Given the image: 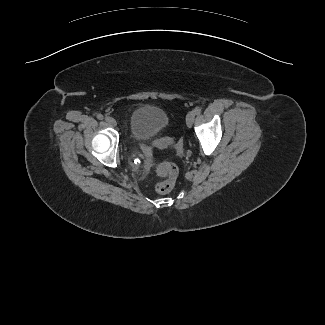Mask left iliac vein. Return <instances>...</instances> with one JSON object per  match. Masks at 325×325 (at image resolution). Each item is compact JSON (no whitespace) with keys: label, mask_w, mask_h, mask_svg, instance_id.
I'll list each match as a JSON object with an SVG mask.
<instances>
[{"label":"left iliac vein","mask_w":325,"mask_h":325,"mask_svg":"<svg viewBox=\"0 0 325 325\" xmlns=\"http://www.w3.org/2000/svg\"><path fill=\"white\" fill-rule=\"evenodd\" d=\"M195 120V112L194 111H190L187 116H186V124L189 128L192 127L193 123Z\"/></svg>","instance_id":"obj_1"}]
</instances>
